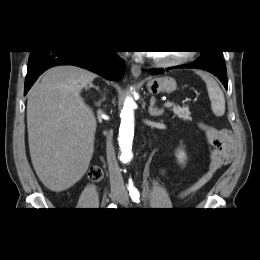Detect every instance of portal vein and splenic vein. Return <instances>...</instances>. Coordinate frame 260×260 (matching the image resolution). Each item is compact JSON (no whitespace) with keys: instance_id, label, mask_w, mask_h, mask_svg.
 Listing matches in <instances>:
<instances>
[{"instance_id":"obj_1","label":"portal vein and splenic vein","mask_w":260,"mask_h":260,"mask_svg":"<svg viewBox=\"0 0 260 260\" xmlns=\"http://www.w3.org/2000/svg\"><path fill=\"white\" fill-rule=\"evenodd\" d=\"M173 104L171 103V102H166L165 104H164V106L165 107H171Z\"/></svg>"}]
</instances>
